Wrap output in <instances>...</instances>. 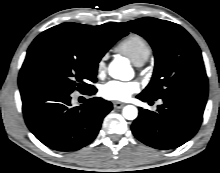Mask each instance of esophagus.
<instances>
[{
	"instance_id": "esophagus-1",
	"label": "esophagus",
	"mask_w": 220,
	"mask_h": 173,
	"mask_svg": "<svg viewBox=\"0 0 220 173\" xmlns=\"http://www.w3.org/2000/svg\"><path fill=\"white\" fill-rule=\"evenodd\" d=\"M124 105H125V104L122 103V102H118V101L113 102V107H114L115 109H120V108H122Z\"/></svg>"
}]
</instances>
